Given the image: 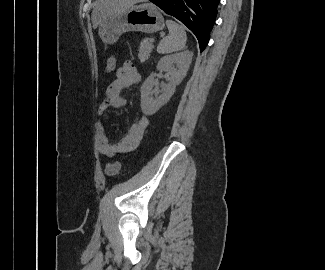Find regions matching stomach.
<instances>
[{"label":"stomach","instance_id":"obj_1","mask_svg":"<svg viewBox=\"0 0 325 270\" xmlns=\"http://www.w3.org/2000/svg\"><path fill=\"white\" fill-rule=\"evenodd\" d=\"M164 19L152 4L123 8L107 16L99 25V36L105 44H114L128 31L154 33L164 29Z\"/></svg>","mask_w":325,"mask_h":270}]
</instances>
